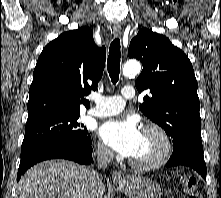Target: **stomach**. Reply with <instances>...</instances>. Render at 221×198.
<instances>
[{
	"label": "stomach",
	"mask_w": 221,
	"mask_h": 198,
	"mask_svg": "<svg viewBox=\"0 0 221 198\" xmlns=\"http://www.w3.org/2000/svg\"><path fill=\"white\" fill-rule=\"evenodd\" d=\"M116 187L129 198H158L162 193L159 184L143 177H128L124 183H117Z\"/></svg>",
	"instance_id": "0dacf381"
}]
</instances>
